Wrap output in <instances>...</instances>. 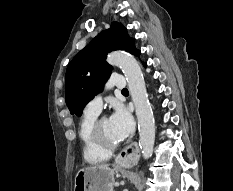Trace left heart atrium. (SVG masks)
<instances>
[{"label": "left heart atrium", "mask_w": 233, "mask_h": 191, "mask_svg": "<svg viewBox=\"0 0 233 191\" xmlns=\"http://www.w3.org/2000/svg\"><path fill=\"white\" fill-rule=\"evenodd\" d=\"M109 121L118 141L127 138L134 130V120L130 113L123 107H117Z\"/></svg>", "instance_id": "1"}]
</instances>
